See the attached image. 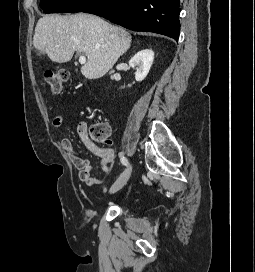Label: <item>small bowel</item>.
I'll list each match as a JSON object with an SVG mask.
<instances>
[{
	"label": "small bowel",
	"mask_w": 255,
	"mask_h": 272,
	"mask_svg": "<svg viewBox=\"0 0 255 272\" xmlns=\"http://www.w3.org/2000/svg\"><path fill=\"white\" fill-rule=\"evenodd\" d=\"M62 123L63 117L61 115H57L53 119V125L56 128H60L62 126ZM77 133L85 148L89 152L100 158V168L102 169V171L109 172L115 158L114 150L111 147L98 146L90 138L87 131V125L85 123H81L78 125ZM61 147L67 154L74 167L78 170L79 178L81 181L85 182L88 186H100L104 183L105 178L92 176V167L90 165V162L75 151L72 142L69 139H62Z\"/></svg>",
	"instance_id": "small-bowel-1"
}]
</instances>
